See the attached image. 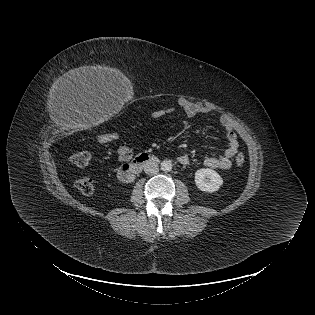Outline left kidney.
<instances>
[{
    "label": "left kidney",
    "instance_id": "1",
    "mask_svg": "<svg viewBox=\"0 0 315 315\" xmlns=\"http://www.w3.org/2000/svg\"><path fill=\"white\" fill-rule=\"evenodd\" d=\"M195 183L201 191L211 193L218 191L223 184V179L216 171L202 168L195 172Z\"/></svg>",
    "mask_w": 315,
    "mask_h": 315
}]
</instances>
